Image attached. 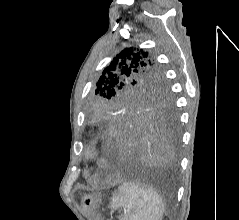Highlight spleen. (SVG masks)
<instances>
[{"mask_svg": "<svg viewBox=\"0 0 239 220\" xmlns=\"http://www.w3.org/2000/svg\"><path fill=\"white\" fill-rule=\"evenodd\" d=\"M113 209L123 208L127 212L118 216L119 220H162L164 203L153 189L140 187L132 182H124L113 194Z\"/></svg>", "mask_w": 239, "mask_h": 220, "instance_id": "obj_1", "label": "spleen"}]
</instances>
